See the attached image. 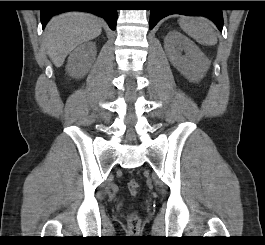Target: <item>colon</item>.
Masks as SVG:
<instances>
[{"mask_svg":"<svg viewBox=\"0 0 265 245\" xmlns=\"http://www.w3.org/2000/svg\"><path fill=\"white\" fill-rule=\"evenodd\" d=\"M138 188H139V184L136 180L133 179L129 181L128 189L133 195L137 193ZM139 224H140L139 216L136 213H132L129 217V225H130L131 233L133 235L137 234Z\"/></svg>","mask_w":265,"mask_h":245,"instance_id":"5ec220e1","label":"colon"}]
</instances>
